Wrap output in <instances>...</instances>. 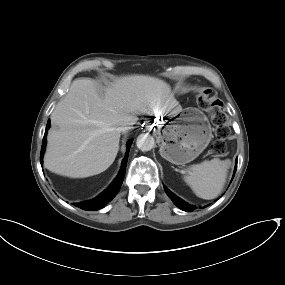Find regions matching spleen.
Here are the masks:
<instances>
[{"instance_id":"1","label":"spleen","mask_w":285,"mask_h":285,"mask_svg":"<svg viewBox=\"0 0 285 285\" xmlns=\"http://www.w3.org/2000/svg\"><path fill=\"white\" fill-rule=\"evenodd\" d=\"M230 163L228 159L214 158L192 165L187 169L184 180L199 198L214 199L225 185Z\"/></svg>"}]
</instances>
